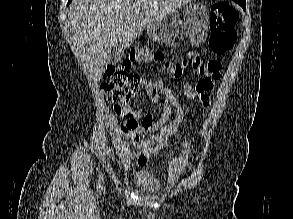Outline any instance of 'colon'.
<instances>
[{
  "mask_svg": "<svg viewBox=\"0 0 293 219\" xmlns=\"http://www.w3.org/2000/svg\"><path fill=\"white\" fill-rule=\"evenodd\" d=\"M239 15L237 10L227 3H216L211 8L209 46L214 54L223 55L230 51L237 40L235 30ZM133 62L161 64L175 79L180 78L186 69H192L202 78L200 90L210 88L220 77L221 63L217 59L204 61L196 52H190L180 61H169L160 51H153L146 46L134 47L129 58L119 67H108L100 84L101 92L114 105L116 115H124L125 108L139 96L142 89L141 78L129 71Z\"/></svg>",
  "mask_w": 293,
  "mask_h": 219,
  "instance_id": "5ec220e1",
  "label": "colon"
}]
</instances>
